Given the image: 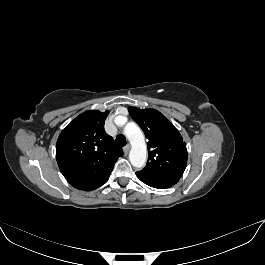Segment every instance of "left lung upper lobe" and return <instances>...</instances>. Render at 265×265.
<instances>
[{"instance_id": "5c2ea615", "label": "left lung upper lobe", "mask_w": 265, "mask_h": 265, "mask_svg": "<svg viewBox=\"0 0 265 265\" xmlns=\"http://www.w3.org/2000/svg\"><path fill=\"white\" fill-rule=\"evenodd\" d=\"M130 116L148 138V161L141 173L180 179L187 165V149L179 131L159 111L130 106Z\"/></svg>"}]
</instances>
